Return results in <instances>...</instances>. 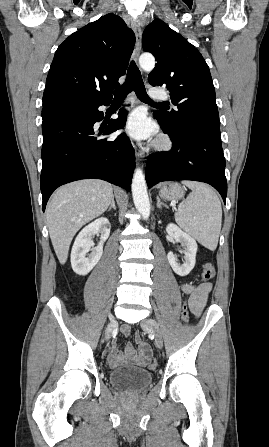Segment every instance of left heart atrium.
<instances>
[{"instance_id": "left-heart-atrium-1", "label": "left heart atrium", "mask_w": 269, "mask_h": 447, "mask_svg": "<svg viewBox=\"0 0 269 447\" xmlns=\"http://www.w3.org/2000/svg\"><path fill=\"white\" fill-rule=\"evenodd\" d=\"M124 131L133 139L142 140L154 137L157 127L144 111L136 109L126 116Z\"/></svg>"}]
</instances>
